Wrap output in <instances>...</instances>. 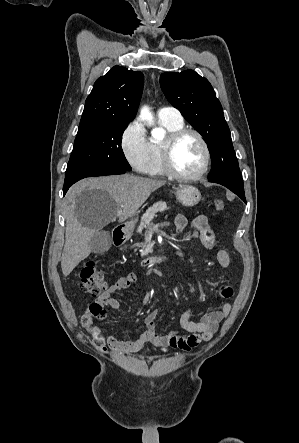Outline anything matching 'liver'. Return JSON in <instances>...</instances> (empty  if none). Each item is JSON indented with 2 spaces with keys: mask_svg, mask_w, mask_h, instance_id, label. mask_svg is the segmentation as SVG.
<instances>
[{
  "mask_svg": "<svg viewBox=\"0 0 299 443\" xmlns=\"http://www.w3.org/2000/svg\"><path fill=\"white\" fill-rule=\"evenodd\" d=\"M165 183L125 174L89 178L73 186L66 196L65 245L61 258L64 276L90 255V241L96 232L116 217L123 222L135 214L152 192Z\"/></svg>",
  "mask_w": 299,
  "mask_h": 443,
  "instance_id": "liver-1",
  "label": "liver"
}]
</instances>
